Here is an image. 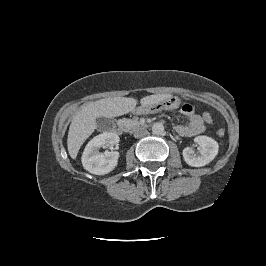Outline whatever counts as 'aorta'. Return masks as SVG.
<instances>
[{"instance_id":"aorta-1","label":"aorta","mask_w":266,"mask_h":266,"mask_svg":"<svg viewBox=\"0 0 266 266\" xmlns=\"http://www.w3.org/2000/svg\"><path fill=\"white\" fill-rule=\"evenodd\" d=\"M152 133L155 135H161L164 133V125L162 123H155L152 126Z\"/></svg>"}]
</instances>
